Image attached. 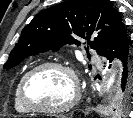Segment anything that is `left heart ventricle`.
Here are the masks:
<instances>
[{
    "instance_id": "left-heart-ventricle-1",
    "label": "left heart ventricle",
    "mask_w": 133,
    "mask_h": 118,
    "mask_svg": "<svg viewBox=\"0 0 133 118\" xmlns=\"http://www.w3.org/2000/svg\"><path fill=\"white\" fill-rule=\"evenodd\" d=\"M28 96L37 106L56 107L73 96V83L63 70L49 68L36 73L28 83Z\"/></svg>"
}]
</instances>
